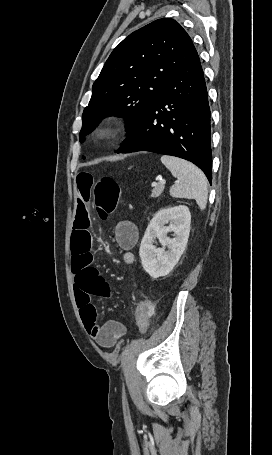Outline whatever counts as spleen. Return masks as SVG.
Wrapping results in <instances>:
<instances>
[{"mask_svg":"<svg viewBox=\"0 0 272 455\" xmlns=\"http://www.w3.org/2000/svg\"><path fill=\"white\" fill-rule=\"evenodd\" d=\"M161 162L177 178L170 188V195L175 198L194 199L201 210L206 208L208 199L207 179L202 171L183 159L163 155Z\"/></svg>","mask_w":272,"mask_h":455,"instance_id":"obj_1","label":"spleen"}]
</instances>
